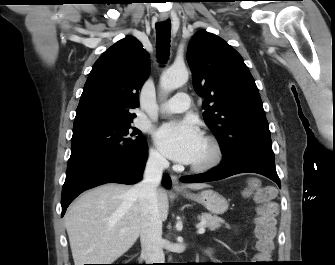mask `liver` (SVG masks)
Segmentation results:
<instances>
[{
    "mask_svg": "<svg viewBox=\"0 0 335 265\" xmlns=\"http://www.w3.org/2000/svg\"><path fill=\"white\" fill-rule=\"evenodd\" d=\"M199 190L205 184H188ZM159 215L168 216V196L157 190ZM65 227L75 265L112 264L136 242L141 229L139 198L132 186L105 184L87 191L68 209Z\"/></svg>",
    "mask_w": 335,
    "mask_h": 265,
    "instance_id": "obj_1",
    "label": "liver"
}]
</instances>
